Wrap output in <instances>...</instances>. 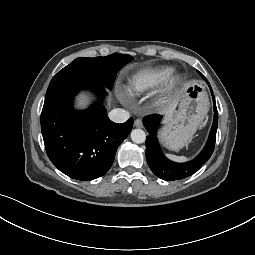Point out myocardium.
Returning a JSON list of instances; mask_svg holds the SVG:
<instances>
[{
  "mask_svg": "<svg viewBox=\"0 0 255 255\" xmlns=\"http://www.w3.org/2000/svg\"><path fill=\"white\" fill-rule=\"evenodd\" d=\"M181 76L179 74H174L170 76V78L167 80L165 86L160 91V94L158 96V103L159 104H165L168 102L174 91L177 89V87L181 83Z\"/></svg>",
  "mask_w": 255,
  "mask_h": 255,
  "instance_id": "f54148a6",
  "label": "myocardium"
}]
</instances>
